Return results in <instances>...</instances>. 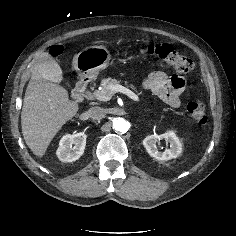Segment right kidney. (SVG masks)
Segmentation results:
<instances>
[{
  "label": "right kidney",
  "mask_w": 236,
  "mask_h": 236,
  "mask_svg": "<svg viewBox=\"0 0 236 236\" xmlns=\"http://www.w3.org/2000/svg\"><path fill=\"white\" fill-rule=\"evenodd\" d=\"M87 136L80 132L77 134H66L60 142L56 155L62 162H73L78 160L84 153Z\"/></svg>",
  "instance_id": "1"
}]
</instances>
